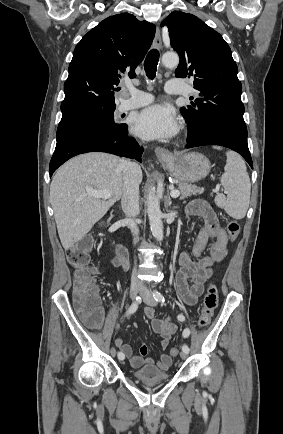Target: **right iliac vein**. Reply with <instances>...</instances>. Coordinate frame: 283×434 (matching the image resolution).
<instances>
[{"instance_id": "right-iliac-vein-1", "label": "right iliac vein", "mask_w": 283, "mask_h": 434, "mask_svg": "<svg viewBox=\"0 0 283 434\" xmlns=\"http://www.w3.org/2000/svg\"><path fill=\"white\" fill-rule=\"evenodd\" d=\"M140 289V283L137 281L132 282L131 288H130V297L132 300L136 297L138 291ZM110 354L115 357L116 355V349L114 347L111 348Z\"/></svg>"}]
</instances>
